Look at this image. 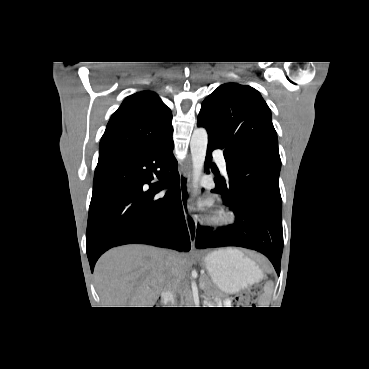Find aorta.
<instances>
[{"label":"aorta","instance_id":"aorta-1","mask_svg":"<svg viewBox=\"0 0 369 369\" xmlns=\"http://www.w3.org/2000/svg\"><path fill=\"white\" fill-rule=\"evenodd\" d=\"M208 144V134L205 128H196L193 131L190 149L193 165V187L197 190V182L202 173Z\"/></svg>","mask_w":369,"mask_h":369}]
</instances>
